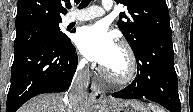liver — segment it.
I'll use <instances>...</instances> for the list:
<instances>
[{
	"instance_id": "obj_1",
	"label": "liver",
	"mask_w": 193,
	"mask_h": 112,
	"mask_svg": "<svg viewBox=\"0 0 193 112\" xmlns=\"http://www.w3.org/2000/svg\"><path fill=\"white\" fill-rule=\"evenodd\" d=\"M95 100L91 97L85 99L82 112H95ZM69 103L61 94L48 93L36 96L18 109V112H74Z\"/></svg>"
}]
</instances>
